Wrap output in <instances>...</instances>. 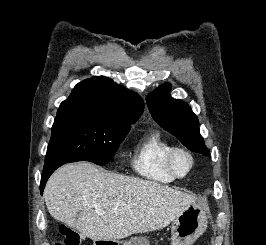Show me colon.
Wrapping results in <instances>:
<instances>
[{
  "mask_svg": "<svg viewBox=\"0 0 266 245\" xmlns=\"http://www.w3.org/2000/svg\"><path fill=\"white\" fill-rule=\"evenodd\" d=\"M59 233L63 236V239L57 242L56 245H82L84 242L83 237L78 232L65 224L60 226Z\"/></svg>",
  "mask_w": 266,
  "mask_h": 245,
  "instance_id": "obj_1",
  "label": "colon"
}]
</instances>
